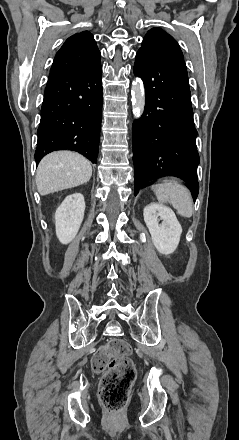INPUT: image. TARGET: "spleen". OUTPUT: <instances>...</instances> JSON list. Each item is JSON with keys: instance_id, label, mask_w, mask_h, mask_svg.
I'll return each mask as SVG.
<instances>
[{"instance_id": "spleen-1", "label": "spleen", "mask_w": 239, "mask_h": 440, "mask_svg": "<svg viewBox=\"0 0 239 440\" xmlns=\"http://www.w3.org/2000/svg\"><path fill=\"white\" fill-rule=\"evenodd\" d=\"M155 196L160 204H172L180 216L191 218L193 214V202L191 194L186 186H181L173 180H166L164 184H154L152 186Z\"/></svg>"}]
</instances>
